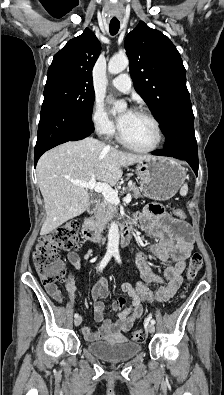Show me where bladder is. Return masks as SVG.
<instances>
[{"instance_id":"1","label":"bladder","mask_w":224,"mask_h":395,"mask_svg":"<svg viewBox=\"0 0 224 395\" xmlns=\"http://www.w3.org/2000/svg\"><path fill=\"white\" fill-rule=\"evenodd\" d=\"M85 348L92 355L107 362L131 360L142 350L141 344L126 337L89 342L85 344Z\"/></svg>"}]
</instances>
